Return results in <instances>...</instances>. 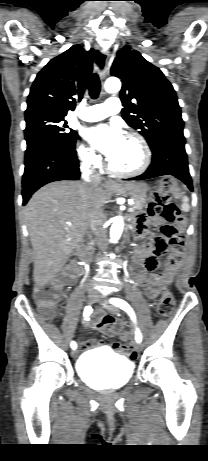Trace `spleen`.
I'll use <instances>...</instances> for the list:
<instances>
[{
    "label": "spleen",
    "mask_w": 208,
    "mask_h": 461,
    "mask_svg": "<svg viewBox=\"0 0 208 461\" xmlns=\"http://www.w3.org/2000/svg\"><path fill=\"white\" fill-rule=\"evenodd\" d=\"M182 201H183V204H182V206H181L182 211L188 212V211L190 210V206H189V204H188V202H189L188 197H187V196H184L183 199H182Z\"/></svg>",
    "instance_id": "spleen-1"
}]
</instances>
